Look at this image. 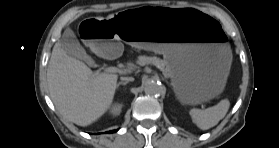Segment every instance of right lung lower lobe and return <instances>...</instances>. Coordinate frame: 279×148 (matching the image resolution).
<instances>
[{
    "label": "right lung lower lobe",
    "mask_w": 279,
    "mask_h": 148,
    "mask_svg": "<svg viewBox=\"0 0 279 148\" xmlns=\"http://www.w3.org/2000/svg\"><path fill=\"white\" fill-rule=\"evenodd\" d=\"M116 131H117V130H115V131H110V132L112 133V132H116Z\"/></svg>",
    "instance_id": "98d812e1"
}]
</instances>
